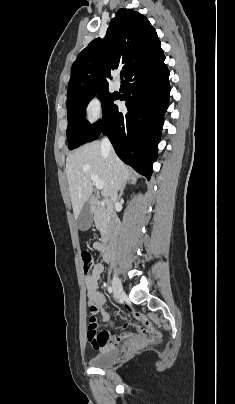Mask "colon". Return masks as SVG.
Listing matches in <instances>:
<instances>
[{
    "mask_svg": "<svg viewBox=\"0 0 235 404\" xmlns=\"http://www.w3.org/2000/svg\"><path fill=\"white\" fill-rule=\"evenodd\" d=\"M82 267L84 273H88L93 267V257L89 250H82L80 253ZM88 330L95 333L97 330V318L96 315L91 314L88 318ZM145 334L148 335L150 338H155L156 333L152 331H145Z\"/></svg>",
    "mask_w": 235,
    "mask_h": 404,
    "instance_id": "5ec220e1",
    "label": "colon"
}]
</instances>
